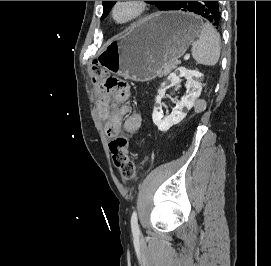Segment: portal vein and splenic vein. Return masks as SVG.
I'll use <instances>...</instances> for the list:
<instances>
[{
    "mask_svg": "<svg viewBox=\"0 0 271 266\" xmlns=\"http://www.w3.org/2000/svg\"><path fill=\"white\" fill-rule=\"evenodd\" d=\"M190 58V55L187 53L184 55V60H188Z\"/></svg>",
    "mask_w": 271,
    "mask_h": 266,
    "instance_id": "1",
    "label": "portal vein and splenic vein"
}]
</instances>
